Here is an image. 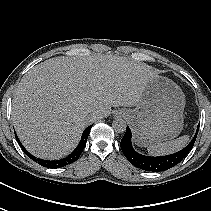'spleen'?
<instances>
[{
    "label": "spleen",
    "instance_id": "3e777b00",
    "mask_svg": "<svg viewBox=\"0 0 211 211\" xmlns=\"http://www.w3.org/2000/svg\"><path fill=\"white\" fill-rule=\"evenodd\" d=\"M189 141V136L184 135L177 139L148 146L151 155H165L181 150Z\"/></svg>",
    "mask_w": 211,
    "mask_h": 211
}]
</instances>
